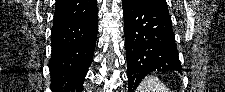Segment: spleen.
<instances>
[{
  "instance_id": "obj_1",
  "label": "spleen",
  "mask_w": 225,
  "mask_h": 92,
  "mask_svg": "<svg viewBox=\"0 0 225 92\" xmlns=\"http://www.w3.org/2000/svg\"><path fill=\"white\" fill-rule=\"evenodd\" d=\"M136 92H170L166 85L156 76H146L137 87Z\"/></svg>"
}]
</instances>
